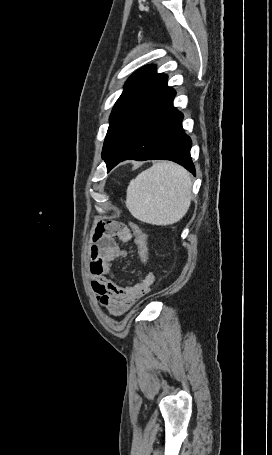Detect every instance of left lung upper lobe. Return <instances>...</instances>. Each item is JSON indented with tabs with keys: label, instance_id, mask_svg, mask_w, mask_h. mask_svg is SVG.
I'll use <instances>...</instances> for the list:
<instances>
[{
	"label": "left lung upper lobe",
	"instance_id": "obj_1",
	"mask_svg": "<svg viewBox=\"0 0 272 455\" xmlns=\"http://www.w3.org/2000/svg\"><path fill=\"white\" fill-rule=\"evenodd\" d=\"M155 68V65L144 66L127 80L124 91L114 105L110 115L109 128L102 151L103 159L132 117L168 87L167 75L158 74Z\"/></svg>",
	"mask_w": 272,
	"mask_h": 455
}]
</instances>
